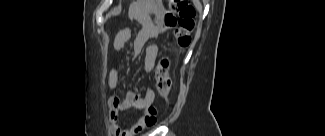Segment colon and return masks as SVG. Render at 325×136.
<instances>
[{
    "instance_id": "colon-1",
    "label": "colon",
    "mask_w": 325,
    "mask_h": 136,
    "mask_svg": "<svg viewBox=\"0 0 325 136\" xmlns=\"http://www.w3.org/2000/svg\"><path fill=\"white\" fill-rule=\"evenodd\" d=\"M194 18L195 9L187 0H169L164 24L167 29L171 30V37L177 45L186 47L190 44L191 32L195 27ZM168 65V60L161 58L155 69L156 87L164 99L170 96L173 87Z\"/></svg>"
}]
</instances>
